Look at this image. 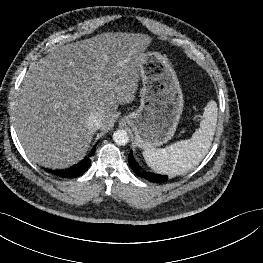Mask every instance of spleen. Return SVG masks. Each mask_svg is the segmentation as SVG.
Masks as SVG:
<instances>
[{
	"label": "spleen",
	"instance_id": "1",
	"mask_svg": "<svg viewBox=\"0 0 263 263\" xmlns=\"http://www.w3.org/2000/svg\"><path fill=\"white\" fill-rule=\"evenodd\" d=\"M204 119L192 137L166 148L148 147L143 151L147 165L156 173L169 177L184 175L193 170L208 153L216 130L218 108L210 101L204 110Z\"/></svg>",
	"mask_w": 263,
	"mask_h": 263
}]
</instances>
